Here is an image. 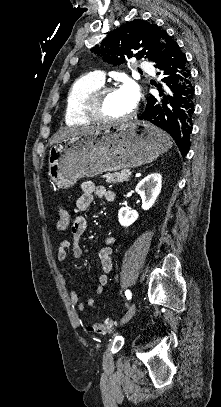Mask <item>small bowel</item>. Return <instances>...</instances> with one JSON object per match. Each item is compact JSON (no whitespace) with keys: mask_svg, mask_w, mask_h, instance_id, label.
Segmentation results:
<instances>
[{"mask_svg":"<svg viewBox=\"0 0 221 407\" xmlns=\"http://www.w3.org/2000/svg\"><path fill=\"white\" fill-rule=\"evenodd\" d=\"M94 196L103 197L107 201H114L115 195L112 191L107 190L102 185H95L91 182H85L81 185V195L76 200V217L73 220L71 226V238L64 239L60 242L57 250V259L63 263L67 260L70 253L73 258H79L82 254V250L78 245V240L83 236L87 228L86 217L84 212L89 208L94 200ZM113 239L110 237L107 240V244L99 251L98 258L101 265V270L97 276L98 284L95 288V293L101 295L104 293V288L108 283L109 273L112 268V243ZM65 283V278L62 277ZM70 303L73 307L79 311H84L86 306H93L95 303L94 298H89L87 304L83 303L77 292L72 290L70 292Z\"/></svg>","mask_w":221,"mask_h":407,"instance_id":"1","label":"small bowel"}]
</instances>
